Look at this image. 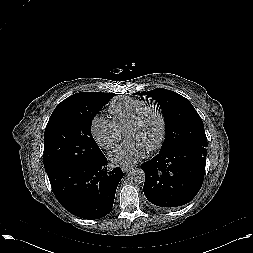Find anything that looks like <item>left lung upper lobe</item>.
Returning a JSON list of instances; mask_svg holds the SVG:
<instances>
[{
    "label": "left lung upper lobe",
    "instance_id": "5c2ea615",
    "mask_svg": "<svg viewBox=\"0 0 253 253\" xmlns=\"http://www.w3.org/2000/svg\"><path fill=\"white\" fill-rule=\"evenodd\" d=\"M142 94L156 100L162 109L166 137L160 151L187 143L208 146L202 119L185 97L163 88Z\"/></svg>",
    "mask_w": 253,
    "mask_h": 253
}]
</instances>
